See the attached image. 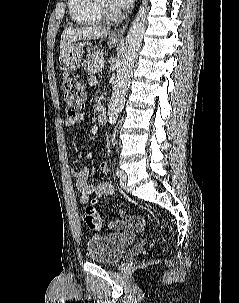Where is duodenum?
I'll return each instance as SVG.
<instances>
[{
    "label": "duodenum",
    "mask_w": 239,
    "mask_h": 303,
    "mask_svg": "<svg viewBox=\"0 0 239 303\" xmlns=\"http://www.w3.org/2000/svg\"><path fill=\"white\" fill-rule=\"evenodd\" d=\"M98 122L100 125H104L107 122V114L105 109H100L98 111Z\"/></svg>",
    "instance_id": "obj_1"
}]
</instances>
